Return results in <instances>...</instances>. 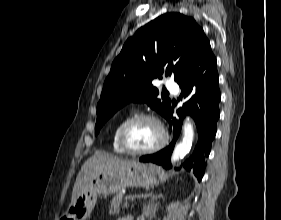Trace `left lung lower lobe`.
Instances as JSON below:
<instances>
[{"label":"left lung lower lobe","instance_id":"1","mask_svg":"<svg viewBox=\"0 0 281 220\" xmlns=\"http://www.w3.org/2000/svg\"><path fill=\"white\" fill-rule=\"evenodd\" d=\"M177 83L182 90L180 98L187 101L183 104V108L178 110V120L172 117L173 107L166 118L173 126V140L165 149L153 155L143 156L140 161L153 162L164 168H170V156L179 137L183 117L185 114H191L198 127V143L192 156L183 163L182 168L193 170L200 181L204 175L205 161L210 153L220 116L221 95L218 88L217 62L211 47L193 58L188 71Z\"/></svg>","mask_w":281,"mask_h":220}]
</instances>
